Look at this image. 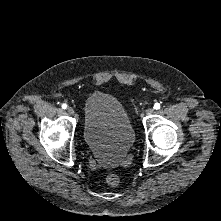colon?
<instances>
[{"instance_id":"1","label":"colon","mask_w":221,"mask_h":221,"mask_svg":"<svg viewBox=\"0 0 221 221\" xmlns=\"http://www.w3.org/2000/svg\"><path fill=\"white\" fill-rule=\"evenodd\" d=\"M105 181L107 184H109L111 186H116L120 182V177L115 173H110V174L106 175Z\"/></svg>"}]
</instances>
